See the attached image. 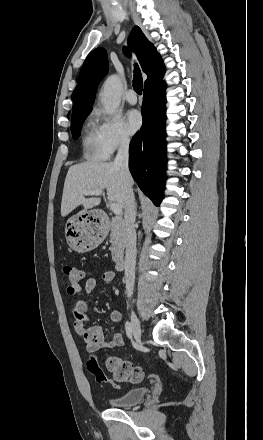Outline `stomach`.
<instances>
[{
  "mask_svg": "<svg viewBox=\"0 0 263 440\" xmlns=\"http://www.w3.org/2000/svg\"><path fill=\"white\" fill-rule=\"evenodd\" d=\"M106 234V228L97 222V214L93 210L74 215L66 222L67 243L78 253L89 252L98 247Z\"/></svg>",
  "mask_w": 263,
  "mask_h": 440,
  "instance_id": "1",
  "label": "stomach"
}]
</instances>
